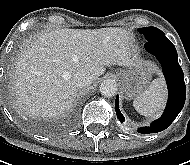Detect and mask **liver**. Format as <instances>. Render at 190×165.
I'll return each mask as SVG.
<instances>
[{"instance_id": "obj_1", "label": "liver", "mask_w": 190, "mask_h": 165, "mask_svg": "<svg viewBox=\"0 0 190 165\" xmlns=\"http://www.w3.org/2000/svg\"><path fill=\"white\" fill-rule=\"evenodd\" d=\"M139 63L129 33L121 28L48 30L30 40L13 65L15 103L29 116L59 117L75 103L76 73L97 80L105 66Z\"/></svg>"}]
</instances>
